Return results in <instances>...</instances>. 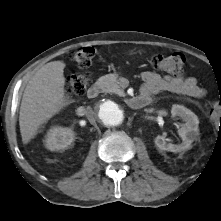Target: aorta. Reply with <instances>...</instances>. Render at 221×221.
Wrapping results in <instances>:
<instances>
[{"instance_id": "obj_1", "label": "aorta", "mask_w": 221, "mask_h": 221, "mask_svg": "<svg viewBox=\"0 0 221 221\" xmlns=\"http://www.w3.org/2000/svg\"><path fill=\"white\" fill-rule=\"evenodd\" d=\"M96 117L105 126L113 127L120 125L125 117L121 104L113 100H105L98 105Z\"/></svg>"}]
</instances>
